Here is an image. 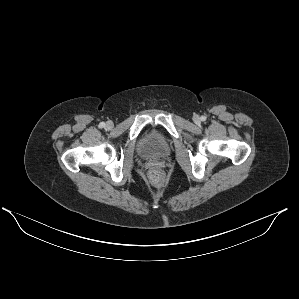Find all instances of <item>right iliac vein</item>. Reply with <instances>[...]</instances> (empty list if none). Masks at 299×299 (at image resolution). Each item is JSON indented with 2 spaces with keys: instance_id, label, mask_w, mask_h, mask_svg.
<instances>
[{
  "instance_id": "obj_1",
  "label": "right iliac vein",
  "mask_w": 299,
  "mask_h": 299,
  "mask_svg": "<svg viewBox=\"0 0 299 299\" xmlns=\"http://www.w3.org/2000/svg\"><path fill=\"white\" fill-rule=\"evenodd\" d=\"M113 122L112 121H108L107 123H106V128L107 129H111V128H113Z\"/></svg>"
}]
</instances>
